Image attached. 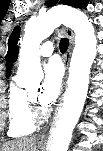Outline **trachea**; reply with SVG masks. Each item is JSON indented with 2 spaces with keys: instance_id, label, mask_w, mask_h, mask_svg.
<instances>
[{
  "instance_id": "obj_1",
  "label": "trachea",
  "mask_w": 103,
  "mask_h": 151,
  "mask_svg": "<svg viewBox=\"0 0 103 151\" xmlns=\"http://www.w3.org/2000/svg\"><path fill=\"white\" fill-rule=\"evenodd\" d=\"M68 45H69V39L67 38L61 39L60 45H59L61 52H65L68 48Z\"/></svg>"
}]
</instances>
